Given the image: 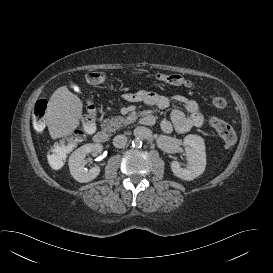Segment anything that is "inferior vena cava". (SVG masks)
<instances>
[{
  "instance_id": "inferior-vena-cava-1",
  "label": "inferior vena cava",
  "mask_w": 273,
  "mask_h": 273,
  "mask_svg": "<svg viewBox=\"0 0 273 273\" xmlns=\"http://www.w3.org/2000/svg\"><path fill=\"white\" fill-rule=\"evenodd\" d=\"M127 143V137L125 135H117L113 139V145L116 148H123Z\"/></svg>"
}]
</instances>
